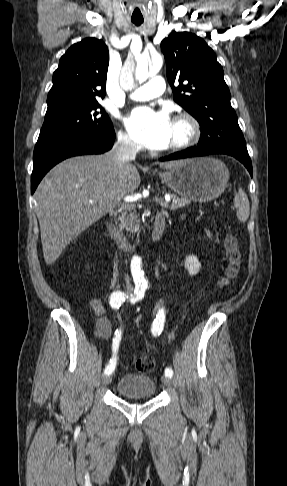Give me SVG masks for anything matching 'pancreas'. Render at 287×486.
Listing matches in <instances>:
<instances>
[{"instance_id": "obj_1", "label": "pancreas", "mask_w": 287, "mask_h": 486, "mask_svg": "<svg viewBox=\"0 0 287 486\" xmlns=\"http://www.w3.org/2000/svg\"><path fill=\"white\" fill-rule=\"evenodd\" d=\"M190 204V200L186 198H179L174 194H171V205L167 206V208L171 210H176L182 208L186 205ZM124 211L121 213L120 216V229L129 230L132 232L138 231V214L135 212V206L127 205L124 206Z\"/></svg>"}]
</instances>
